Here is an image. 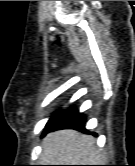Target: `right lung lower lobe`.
<instances>
[{
    "label": "right lung lower lobe",
    "instance_id": "1",
    "mask_svg": "<svg viewBox=\"0 0 135 166\" xmlns=\"http://www.w3.org/2000/svg\"><path fill=\"white\" fill-rule=\"evenodd\" d=\"M86 117L79 113L74 108H69L63 115L55 122L48 125L45 129V133L49 131H55L59 129H75L83 132H88L85 129Z\"/></svg>",
    "mask_w": 135,
    "mask_h": 166
}]
</instances>
